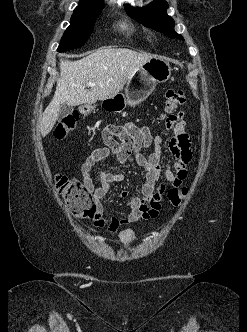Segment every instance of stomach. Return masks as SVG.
Segmentation results:
<instances>
[{"instance_id": "0dacf381", "label": "stomach", "mask_w": 247, "mask_h": 332, "mask_svg": "<svg viewBox=\"0 0 247 332\" xmlns=\"http://www.w3.org/2000/svg\"><path fill=\"white\" fill-rule=\"evenodd\" d=\"M171 71L167 61L158 57L151 58L129 78L124 93L102 101L103 108L122 111L127 105H139L153 93L158 83H164L170 78Z\"/></svg>"}]
</instances>
